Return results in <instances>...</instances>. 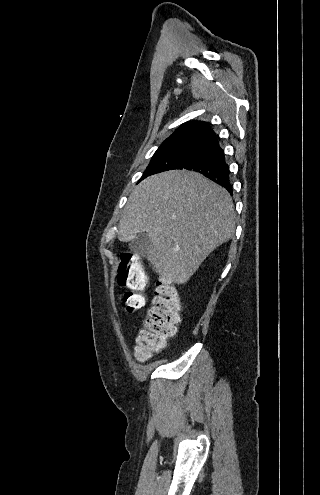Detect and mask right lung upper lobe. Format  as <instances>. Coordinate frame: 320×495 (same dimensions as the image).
I'll return each instance as SVG.
<instances>
[{"instance_id": "1", "label": "right lung upper lobe", "mask_w": 320, "mask_h": 495, "mask_svg": "<svg viewBox=\"0 0 320 495\" xmlns=\"http://www.w3.org/2000/svg\"><path fill=\"white\" fill-rule=\"evenodd\" d=\"M216 136L209 124L204 121H189L182 124L164 143L178 140H202L209 141Z\"/></svg>"}]
</instances>
